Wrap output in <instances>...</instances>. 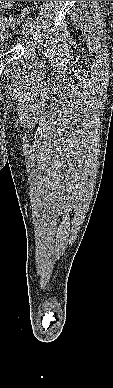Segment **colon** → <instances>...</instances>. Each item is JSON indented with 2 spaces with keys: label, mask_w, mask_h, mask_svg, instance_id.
I'll use <instances>...</instances> for the list:
<instances>
[{
  "label": "colon",
  "mask_w": 113,
  "mask_h": 388,
  "mask_svg": "<svg viewBox=\"0 0 113 388\" xmlns=\"http://www.w3.org/2000/svg\"><path fill=\"white\" fill-rule=\"evenodd\" d=\"M24 17H25V12L24 13H20V14H16V15H13V16L9 17L8 21L12 25L21 24L23 22V20H24Z\"/></svg>",
  "instance_id": "colon-1"
}]
</instances>
